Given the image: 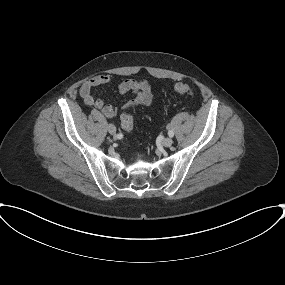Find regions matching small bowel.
Here are the masks:
<instances>
[{
    "label": "small bowel",
    "instance_id": "obj_1",
    "mask_svg": "<svg viewBox=\"0 0 285 285\" xmlns=\"http://www.w3.org/2000/svg\"><path fill=\"white\" fill-rule=\"evenodd\" d=\"M113 81L108 75H97L85 81L79 90L83 102L87 106H92L102 112L109 118H115L118 114V109L110 104H106L102 99L93 96V90L100 86L112 84ZM120 94L132 92L134 98L129 100L122 106V110H128L135 106H148L153 100L152 87L146 79H126L115 84Z\"/></svg>",
    "mask_w": 285,
    "mask_h": 285
}]
</instances>
